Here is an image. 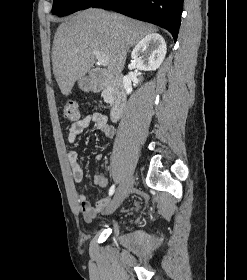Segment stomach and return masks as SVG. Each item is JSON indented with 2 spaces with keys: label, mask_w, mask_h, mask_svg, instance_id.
Segmentation results:
<instances>
[{
  "label": "stomach",
  "mask_w": 247,
  "mask_h": 280,
  "mask_svg": "<svg viewBox=\"0 0 247 280\" xmlns=\"http://www.w3.org/2000/svg\"><path fill=\"white\" fill-rule=\"evenodd\" d=\"M79 86L83 89V90H88V89H90L91 87H90V85L89 84H87L84 80H80L79 81Z\"/></svg>",
  "instance_id": "obj_1"
}]
</instances>
